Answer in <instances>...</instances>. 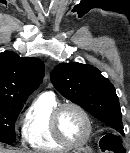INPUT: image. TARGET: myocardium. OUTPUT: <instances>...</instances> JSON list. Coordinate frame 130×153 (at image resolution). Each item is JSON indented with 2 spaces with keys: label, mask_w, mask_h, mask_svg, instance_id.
Here are the masks:
<instances>
[{
  "label": "myocardium",
  "mask_w": 130,
  "mask_h": 153,
  "mask_svg": "<svg viewBox=\"0 0 130 153\" xmlns=\"http://www.w3.org/2000/svg\"><path fill=\"white\" fill-rule=\"evenodd\" d=\"M66 108L76 109L77 111L81 113V115L84 117L86 121L87 133H86L85 138L79 143H73L67 140L60 130V125H59L60 115L63 112V110H65ZM50 125H51L52 132L55 138L57 139V141L69 149H79V148L84 147L89 142L92 136V133H93V124H92V119L89 113L84 107H82L80 104L75 103V102L60 103L52 111L51 118H50Z\"/></svg>",
  "instance_id": "obj_1"
}]
</instances>
